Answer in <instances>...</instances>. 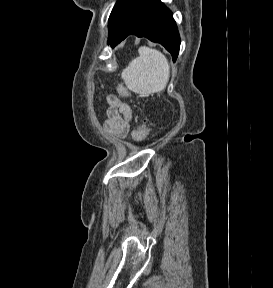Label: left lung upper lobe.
I'll use <instances>...</instances> for the list:
<instances>
[{"label":"left lung upper lobe","mask_w":273,"mask_h":288,"mask_svg":"<svg viewBox=\"0 0 273 288\" xmlns=\"http://www.w3.org/2000/svg\"><path fill=\"white\" fill-rule=\"evenodd\" d=\"M130 2L131 0H118L116 4L114 5V8L112 9V12L110 14L109 21H108L109 22L108 40L114 35L118 22Z\"/></svg>","instance_id":"left-lung-upper-lobe-1"}]
</instances>
